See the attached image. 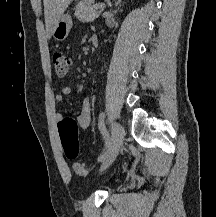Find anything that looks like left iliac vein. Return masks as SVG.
<instances>
[{"label":"left iliac vein","instance_id":"left-iliac-vein-1","mask_svg":"<svg viewBox=\"0 0 216 217\" xmlns=\"http://www.w3.org/2000/svg\"><path fill=\"white\" fill-rule=\"evenodd\" d=\"M124 136H125L124 128L119 123L115 122L112 125V131H111V139H112L111 146L105 160L103 161L100 167V171H103L106 168H108L115 160L123 144Z\"/></svg>","mask_w":216,"mask_h":217}]
</instances>
